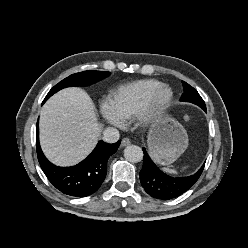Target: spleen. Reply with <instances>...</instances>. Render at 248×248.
Segmentation results:
<instances>
[{"label": "spleen", "mask_w": 248, "mask_h": 248, "mask_svg": "<svg viewBox=\"0 0 248 248\" xmlns=\"http://www.w3.org/2000/svg\"><path fill=\"white\" fill-rule=\"evenodd\" d=\"M163 170L167 173H170V174H176V170L174 169H169V168H163Z\"/></svg>", "instance_id": "3e777b00"}]
</instances>
